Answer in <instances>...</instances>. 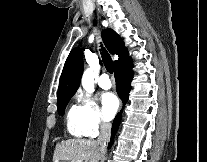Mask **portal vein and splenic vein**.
<instances>
[{"instance_id":"1","label":"portal vein and splenic vein","mask_w":207,"mask_h":162,"mask_svg":"<svg viewBox=\"0 0 207 162\" xmlns=\"http://www.w3.org/2000/svg\"><path fill=\"white\" fill-rule=\"evenodd\" d=\"M76 162H83V161H81V160H78V161H76Z\"/></svg>"}]
</instances>
